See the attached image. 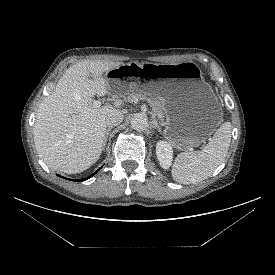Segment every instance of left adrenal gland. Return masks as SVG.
<instances>
[{"instance_id":"left-adrenal-gland-1","label":"left adrenal gland","mask_w":275,"mask_h":275,"mask_svg":"<svg viewBox=\"0 0 275 275\" xmlns=\"http://www.w3.org/2000/svg\"><path fill=\"white\" fill-rule=\"evenodd\" d=\"M152 122H153V128L156 129L158 132H161L160 126L158 125V122H157L156 117L154 115L152 117Z\"/></svg>"}]
</instances>
